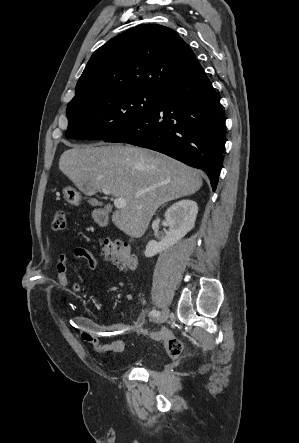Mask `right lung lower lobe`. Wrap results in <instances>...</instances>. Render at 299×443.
I'll return each mask as SVG.
<instances>
[{
    "label": "right lung lower lobe",
    "mask_w": 299,
    "mask_h": 443,
    "mask_svg": "<svg viewBox=\"0 0 299 443\" xmlns=\"http://www.w3.org/2000/svg\"><path fill=\"white\" fill-rule=\"evenodd\" d=\"M104 141L152 149L200 168L215 190L223 161L225 118L202 70L162 88L149 112Z\"/></svg>",
    "instance_id": "98d812e1"
}]
</instances>
